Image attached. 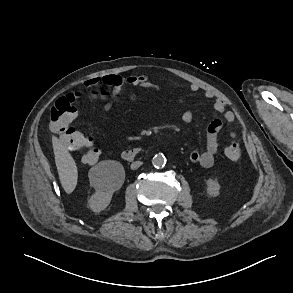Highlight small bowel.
Segmentation results:
<instances>
[{"label": "small bowel", "mask_w": 293, "mask_h": 293, "mask_svg": "<svg viewBox=\"0 0 293 293\" xmlns=\"http://www.w3.org/2000/svg\"><path fill=\"white\" fill-rule=\"evenodd\" d=\"M84 87H97L107 86L111 88L110 95L104 99L103 112L107 114L114 103L120 97L121 92L126 86L143 87L149 91H157L158 87L154 85L147 75H132L122 77L118 75H103L87 79L83 83ZM192 92H198L201 87L197 83L190 85ZM204 96L213 100V110L215 115H221V119H214L207 127L205 149L203 151L193 150L190 153V160L193 163L200 164L203 167H210L213 165L215 155L218 150V134L223 128V124L228 126L232 125L235 120V115L232 111L225 110V103L222 99L218 98L214 92L210 90L204 91ZM193 114L190 110H186L182 114V121L189 125L192 123Z\"/></svg>", "instance_id": "1"}]
</instances>
